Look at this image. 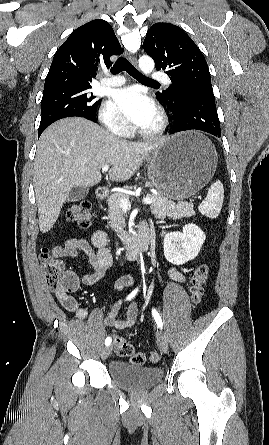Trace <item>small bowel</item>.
<instances>
[{
  "label": "small bowel",
  "instance_id": "obj_1",
  "mask_svg": "<svg viewBox=\"0 0 269 445\" xmlns=\"http://www.w3.org/2000/svg\"><path fill=\"white\" fill-rule=\"evenodd\" d=\"M149 231L146 226H142L141 231ZM108 238L104 231H95L91 237V243L83 238H74L67 240L63 245L57 246L53 249L52 255L56 259L65 257H84L86 259L89 270L86 271L81 281L85 285H93L99 281L105 274L106 270L112 264V255L107 247ZM78 285V278L72 272H68ZM169 277L177 282H184V276L175 268L169 270ZM135 281L131 276L125 275L120 277L114 285V289L117 293L121 292L124 288L133 287ZM57 296L64 306V308L75 315L78 319H85L87 316L86 309L80 307L72 296L65 294L62 291L57 293ZM120 310V302L115 301L109 308L105 317L104 323L107 326L115 327L120 330L128 329L132 327L138 316V305L133 302L127 308L125 317L119 319L118 312Z\"/></svg>",
  "mask_w": 269,
  "mask_h": 445
}]
</instances>
